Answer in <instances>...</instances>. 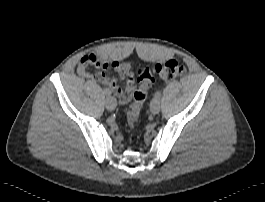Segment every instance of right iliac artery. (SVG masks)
<instances>
[{"label":"right iliac artery","instance_id":"right-iliac-artery-1","mask_svg":"<svg viewBox=\"0 0 265 202\" xmlns=\"http://www.w3.org/2000/svg\"><path fill=\"white\" fill-rule=\"evenodd\" d=\"M104 93H105V95H107V96L110 95L109 91H108L106 88L104 89Z\"/></svg>","mask_w":265,"mask_h":202}]
</instances>
